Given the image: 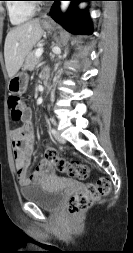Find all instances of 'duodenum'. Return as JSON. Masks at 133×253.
Masks as SVG:
<instances>
[{"instance_id": "obj_1", "label": "duodenum", "mask_w": 133, "mask_h": 253, "mask_svg": "<svg viewBox=\"0 0 133 253\" xmlns=\"http://www.w3.org/2000/svg\"><path fill=\"white\" fill-rule=\"evenodd\" d=\"M47 79V75L44 73L43 74V80H46Z\"/></svg>"}]
</instances>
